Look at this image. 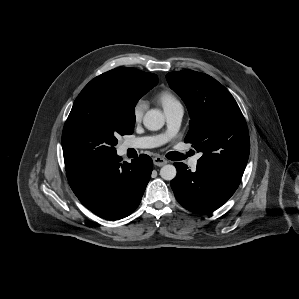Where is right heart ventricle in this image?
Wrapping results in <instances>:
<instances>
[{"label": "right heart ventricle", "mask_w": 299, "mask_h": 299, "mask_svg": "<svg viewBox=\"0 0 299 299\" xmlns=\"http://www.w3.org/2000/svg\"><path fill=\"white\" fill-rule=\"evenodd\" d=\"M155 100L163 107L164 111L174 106L181 105L178 98L169 90H163L159 92L156 95Z\"/></svg>", "instance_id": "e07e8e85"}]
</instances>
